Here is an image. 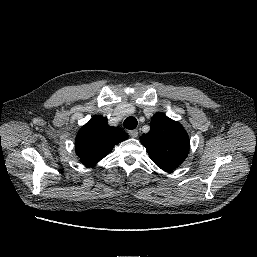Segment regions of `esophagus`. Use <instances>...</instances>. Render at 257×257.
Returning a JSON list of instances; mask_svg holds the SVG:
<instances>
[{
    "label": "esophagus",
    "instance_id": "obj_1",
    "mask_svg": "<svg viewBox=\"0 0 257 257\" xmlns=\"http://www.w3.org/2000/svg\"><path fill=\"white\" fill-rule=\"evenodd\" d=\"M128 133L132 138H136L138 136L137 130H130Z\"/></svg>",
    "mask_w": 257,
    "mask_h": 257
}]
</instances>
